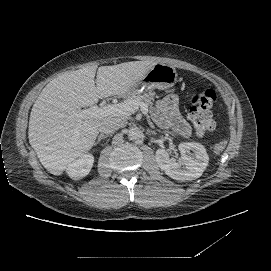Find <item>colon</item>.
I'll list each match as a JSON object with an SVG mask.
<instances>
[{
  "mask_svg": "<svg viewBox=\"0 0 271 271\" xmlns=\"http://www.w3.org/2000/svg\"><path fill=\"white\" fill-rule=\"evenodd\" d=\"M216 100V93L212 89H200L191 97L189 118L192 121L198 135L212 131L215 122L212 116V108ZM227 142L222 140L216 143L214 150L221 153L225 150Z\"/></svg>",
  "mask_w": 271,
  "mask_h": 271,
  "instance_id": "5ec220e1",
  "label": "colon"
}]
</instances>
